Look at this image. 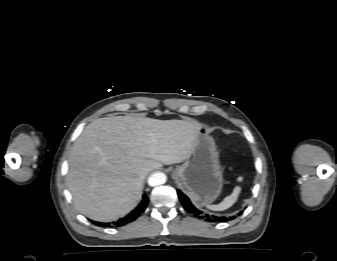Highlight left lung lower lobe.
I'll return each instance as SVG.
<instances>
[{
	"label": "left lung lower lobe",
	"mask_w": 337,
	"mask_h": 261,
	"mask_svg": "<svg viewBox=\"0 0 337 261\" xmlns=\"http://www.w3.org/2000/svg\"><path fill=\"white\" fill-rule=\"evenodd\" d=\"M179 199L184 207L189 213L193 214L194 216L204 219L205 221L209 222H222V221H229L234 219V217H224V216H215L209 214H203V212L196 209L192 203L190 202L189 198L184 195L180 190H178ZM242 213V212H241Z\"/></svg>",
	"instance_id": "obj_1"
}]
</instances>
